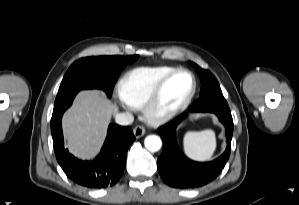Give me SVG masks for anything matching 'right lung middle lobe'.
<instances>
[{"label": "right lung middle lobe", "mask_w": 299, "mask_h": 205, "mask_svg": "<svg viewBox=\"0 0 299 205\" xmlns=\"http://www.w3.org/2000/svg\"><path fill=\"white\" fill-rule=\"evenodd\" d=\"M134 56H99L86 57L73 63L66 72L56 100L54 110H58L73 101L83 89L99 88L111 96L114 81L126 64L134 62Z\"/></svg>", "instance_id": "obj_1"}]
</instances>
